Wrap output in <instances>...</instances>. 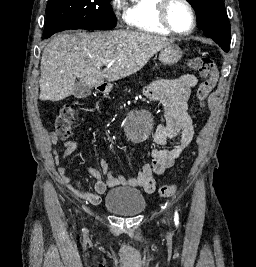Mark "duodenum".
Returning <instances> with one entry per match:
<instances>
[{
  "mask_svg": "<svg viewBox=\"0 0 256 267\" xmlns=\"http://www.w3.org/2000/svg\"><path fill=\"white\" fill-rule=\"evenodd\" d=\"M111 83H117V78H108V81H98L97 94H110ZM149 86V83H145Z\"/></svg>",
  "mask_w": 256,
  "mask_h": 267,
  "instance_id": "duodenum-1",
  "label": "duodenum"
}]
</instances>
